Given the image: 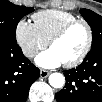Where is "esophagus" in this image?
I'll return each mask as SVG.
<instances>
[{
  "label": "esophagus",
  "mask_w": 102,
  "mask_h": 102,
  "mask_svg": "<svg viewBox=\"0 0 102 102\" xmlns=\"http://www.w3.org/2000/svg\"><path fill=\"white\" fill-rule=\"evenodd\" d=\"M49 74H50V72L47 71V70H44V69H41V70H40V77H41V78H46V77L49 76Z\"/></svg>",
  "instance_id": "obj_1"
}]
</instances>
